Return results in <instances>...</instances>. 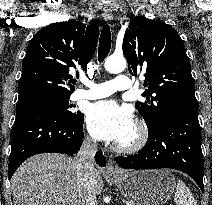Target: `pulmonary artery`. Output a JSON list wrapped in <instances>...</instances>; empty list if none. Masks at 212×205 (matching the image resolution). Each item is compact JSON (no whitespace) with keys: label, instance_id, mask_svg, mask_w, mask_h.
Instances as JSON below:
<instances>
[{"label":"pulmonary artery","instance_id":"pulmonary-artery-1","mask_svg":"<svg viewBox=\"0 0 212 205\" xmlns=\"http://www.w3.org/2000/svg\"><path fill=\"white\" fill-rule=\"evenodd\" d=\"M82 82L86 89L76 90L74 94L76 99H100L116 91L127 90L132 85L129 77L123 74H119L114 79L102 83H95L87 79H83Z\"/></svg>","mask_w":212,"mask_h":205}]
</instances>
